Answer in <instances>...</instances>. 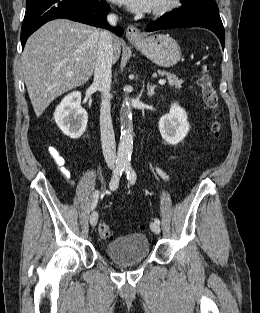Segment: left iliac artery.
<instances>
[{
    "label": "left iliac artery",
    "instance_id": "obj_1",
    "mask_svg": "<svg viewBox=\"0 0 260 313\" xmlns=\"http://www.w3.org/2000/svg\"><path fill=\"white\" fill-rule=\"evenodd\" d=\"M124 171L127 174V179L130 182V184H134L136 182V178L137 175L134 171V169L132 168V166L130 164H125L124 165ZM155 223H157L158 225H160V220L158 218L154 219Z\"/></svg>",
    "mask_w": 260,
    "mask_h": 313
}]
</instances>
